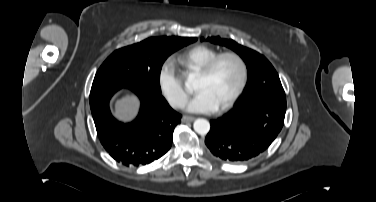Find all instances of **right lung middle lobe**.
<instances>
[{
	"label": "right lung middle lobe",
	"mask_w": 376,
	"mask_h": 202,
	"mask_svg": "<svg viewBox=\"0 0 376 202\" xmlns=\"http://www.w3.org/2000/svg\"><path fill=\"white\" fill-rule=\"evenodd\" d=\"M197 38L151 37L114 51L97 71L92 88L104 84H142L161 92L160 71L167 57Z\"/></svg>",
	"instance_id": "dd1d6c3e"
}]
</instances>
